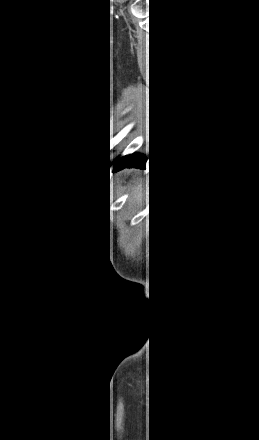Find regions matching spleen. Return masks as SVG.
Listing matches in <instances>:
<instances>
[{"label":"spleen","mask_w":259,"mask_h":440,"mask_svg":"<svg viewBox=\"0 0 259 440\" xmlns=\"http://www.w3.org/2000/svg\"><path fill=\"white\" fill-rule=\"evenodd\" d=\"M123 190H126V188H123ZM140 193H141V197L143 198V201L145 199V183L143 182L142 187L140 188V185H138L137 183H135L133 185V187L131 188V192L128 198V204L130 206H136L138 201H139V197H140Z\"/></svg>","instance_id":"1"}]
</instances>
